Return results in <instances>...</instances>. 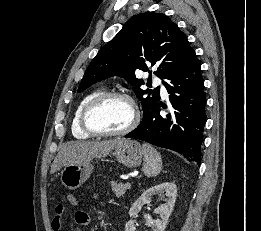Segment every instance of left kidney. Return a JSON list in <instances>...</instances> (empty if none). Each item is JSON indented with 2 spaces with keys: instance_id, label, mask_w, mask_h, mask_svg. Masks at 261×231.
I'll return each mask as SVG.
<instances>
[{
  "instance_id": "5707ae66",
  "label": "left kidney",
  "mask_w": 261,
  "mask_h": 231,
  "mask_svg": "<svg viewBox=\"0 0 261 231\" xmlns=\"http://www.w3.org/2000/svg\"><path fill=\"white\" fill-rule=\"evenodd\" d=\"M166 194V203L155 208L154 213L160 215L161 220L153 219L149 214L145 215L146 225L152 229V231H164L168 223L169 216L171 215L174 207V203L177 196V187L172 182H164L154 187H151L143 192V194L135 201L129 210L131 218L138 215L141 207L144 204L151 202L154 194ZM134 221L130 219L125 225V231H135Z\"/></svg>"
}]
</instances>
